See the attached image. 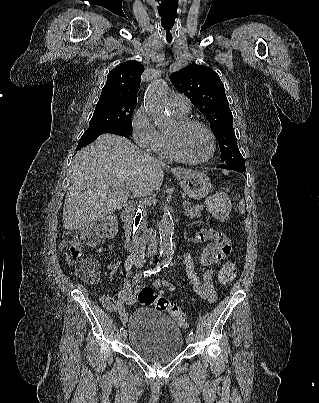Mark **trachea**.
Listing matches in <instances>:
<instances>
[{"mask_svg":"<svg viewBox=\"0 0 319 403\" xmlns=\"http://www.w3.org/2000/svg\"><path fill=\"white\" fill-rule=\"evenodd\" d=\"M162 27L164 29V33L166 35V41L168 43L172 42L173 36H172V32H173V26H174V22L173 21H165V22H161Z\"/></svg>","mask_w":319,"mask_h":403,"instance_id":"obj_1","label":"trachea"}]
</instances>
